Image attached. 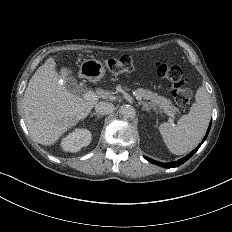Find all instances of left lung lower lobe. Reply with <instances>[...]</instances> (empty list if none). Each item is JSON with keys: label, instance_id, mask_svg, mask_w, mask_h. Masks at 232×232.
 <instances>
[{"label": "left lung lower lobe", "instance_id": "0a47b994", "mask_svg": "<svg viewBox=\"0 0 232 232\" xmlns=\"http://www.w3.org/2000/svg\"><path fill=\"white\" fill-rule=\"evenodd\" d=\"M211 123L212 121L210 122V125L208 127V130H207V133L205 135V137L203 138L202 142L198 145V147L196 149H194L190 154H188L186 157H183L177 161H173V162H169V163H163V162H158V161H155L151 158H148V157H145V159L153 164H156L158 166H161V167H164V168H174V167H178L180 165H182L183 163H185L188 159H190L194 154L195 152L199 149V147L203 144V142L205 141V139L207 138V135L210 131V128H211Z\"/></svg>", "mask_w": 232, "mask_h": 232}]
</instances>
